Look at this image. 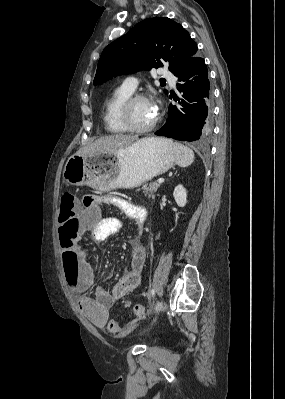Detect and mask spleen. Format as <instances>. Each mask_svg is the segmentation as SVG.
Wrapping results in <instances>:
<instances>
[{"instance_id": "obj_1", "label": "spleen", "mask_w": 285, "mask_h": 399, "mask_svg": "<svg viewBox=\"0 0 285 399\" xmlns=\"http://www.w3.org/2000/svg\"><path fill=\"white\" fill-rule=\"evenodd\" d=\"M172 147L173 151L175 154V162L177 165L180 167H188L191 165L194 161V152L188 148L187 146H184L183 144L179 142H172L168 140Z\"/></svg>"}]
</instances>
